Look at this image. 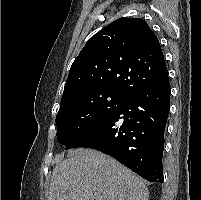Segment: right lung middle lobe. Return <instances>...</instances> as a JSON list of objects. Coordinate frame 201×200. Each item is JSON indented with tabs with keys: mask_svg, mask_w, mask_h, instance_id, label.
<instances>
[{
	"mask_svg": "<svg viewBox=\"0 0 201 200\" xmlns=\"http://www.w3.org/2000/svg\"><path fill=\"white\" fill-rule=\"evenodd\" d=\"M128 96L115 91H92L61 102L56 115L57 140L69 145L77 136L114 110Z\"/></svg>",
	"mask_w": 201,
	"mask_h": 200,
	"instance_id": "right-lung-middle-lobe-1",
	"label": "right lung middle lobe"
}]
</instances>
